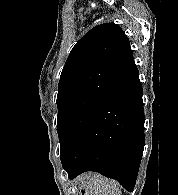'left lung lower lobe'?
I'll list each match as a JSON object with an SVG mask.
<instances>
[{
  "mask_svg": "<svg viewBox=\"0 0 178 195\" xmlns=\"http://www.w3.org/2000/svg\"><path fill=\"white\" fill-rule=\"evenodd\" d=\"M139 74L93 116L60 154L70 179L95 171L133 190L144 148Z\"/></svg>",
  "mask_w": 178,
  "mask_h": 195,
  "instance_id": "left-lung-lower-lobe-1",
  "label": "left lung lower lobe"
}]
</instances>
